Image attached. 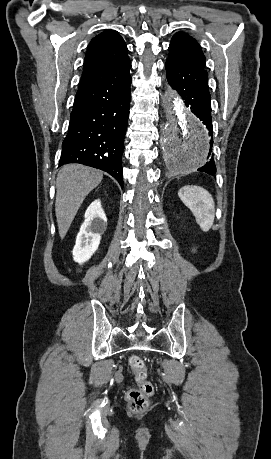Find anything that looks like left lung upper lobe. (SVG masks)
<instances>
[{
	"label": "left lung upper lobe",
	"instance_id": "5c2ea615",
	"mask_svg": "<svg viewBox=\"0 0 271 459\" xmlns=\"http://www.w3.org/2000/svg\"><path fill=\"white\" fill-rule=\"evenodd\" d=\"M167 60L190 67L205 68L201 46L193 37L183 32H178L172 37Z\"/></svg>",
	"mask_w": 271,
	"mask_h": 459
}]
</instances>
